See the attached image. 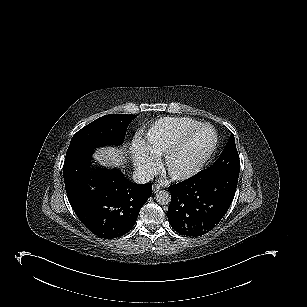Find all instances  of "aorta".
<instances>
[{
  "label": "aorta",
  "mask_w": 307,
  "mask_h": 307,
  "mask_svg": "<svg viewBox=\"0 0 307 307\" xmlns=\"http://www.w3.org/2000/svg\"><path fill=\"white\" fill-rule=\"evenodd\" d=\"M155 199L160 205H168L171 201V196L168 191L160 190L156 193Z\"/></svg>",
  "instance_id": "1"
}]
</instances>
